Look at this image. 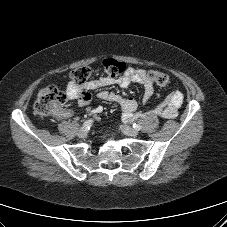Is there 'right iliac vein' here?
<instances>
[{"mask_svg":"<svg viewBox=\"0 0 227 227\" xmlns=\"http://www.w3.org/2000/svg\"><path fill=\"white\" fill-rule=\"evenodd\" d=\"M78 136L80 138H85L87 136V129L82 127L78 132Z\"/></svg>","mask_w":227,"mask_h":227,"instance_id":"63e3f726","label":"right iliac vein"}]
</instances>
